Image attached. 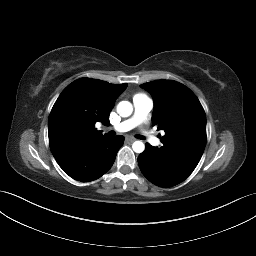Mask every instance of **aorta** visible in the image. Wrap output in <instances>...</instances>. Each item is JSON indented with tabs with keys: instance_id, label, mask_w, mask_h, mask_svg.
I'll return each instance as SVG.
<instances>
[{
	"instance_id": "762f6f07",
	"label": "aorta",
	"mask_w": 256,
	"mask_h": 256,
	"mask_svg": "<svg viewBox=\"0 0 256 256\" xmlns=\"http://www.w3.org/2000/svg\"><path fill=\"white\" fill-rule=\"evenodd\" d=\"M133 112V106L129 101H121L117 105V113L121 117H129ZM132 149L135 153H142L145 149V145L142 141H135L132 144Z\"/></svg>"
}]
</instances>
